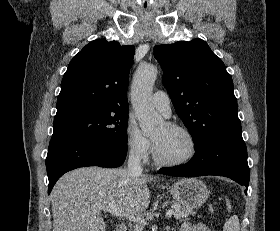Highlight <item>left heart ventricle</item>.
Here are the masks:
<instances>
[{
    "instance_id": "left-heart-ventricle-1",
    "label": "left heart ventricle",
    "mask_w": 280,
    "mask_h": 231,
    "mask_svg": "<svg viewBox=\"0 0 280 231\" xmlns=\"http://www.w3.org/2000/svg\"><path fill=\"white\" fill-rule=\"evenodd\" d=\"M154 140L160 139L158 154L166 160H176L186 157L191 152L189 138L166 124L159 127L152 135Z\"/></svg>"
}]
</instances>
